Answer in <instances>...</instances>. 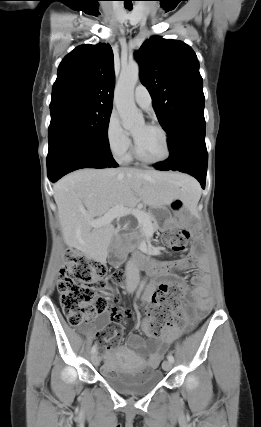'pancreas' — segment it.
Returning a JSON list of instances; mask_svg holds the SVG:
<instances>
[{
    "instance_id": "obj_1",
    "label": "pancreas",
    "mask_w": 261,
    "mask_h": 427,
    "mask_svg": "<svg viewBox=\"0 0 261 427\" xmlns=\"http://www.w3.org/2000/svg\"><path fill=\"white\" fill-rule=\"evenodd\" d=\"M145 212V211H144ZM146 214H147V219H148V221H149V225H148V228L151 230V231H154L155 230V228H156V226L152 223V221H153V216L149 213V212H145ZM143 237V227H142V225H141V228H140V235L137 237V238H142Z\"/></svg>"
}]
</instances>
